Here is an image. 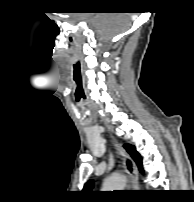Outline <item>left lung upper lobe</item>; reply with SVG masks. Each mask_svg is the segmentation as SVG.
Returning a JSON list of instances; mask_svg holds the SVG:
<instances>
[{
	"label": "left lung upper lobe",
	"instance_id": "5c2ea615",
	"mask_svg": "<svg viewBox=\"0 0 194 202\" xmlns=\"http://www.w3.org/2000/svg\"><path fill=\"white\" fill-rule=\"evenodd\" d=\"M124 148L127 150V152L131 155L133 160L136 162L138 165L139 170L143 173V168H142V159L139 153L136 151L135 147L130 144H125ZM93 187V182L89 181L85 184L84 186V191H90Z\"/></svg>",
	"mask_w": 194,
	"mask_h": 202
}]
</instances>
